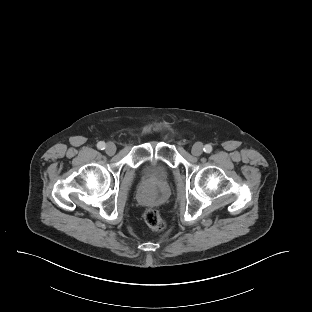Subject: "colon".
Masks as SVG:
<instances>
[{
    "mask_svg": "<svg viewBox=\"0 0 312 312\" xmlns=\"http://www.w3.org/2000/svg\"><path fill=\"white\" fill-rule=\"evenodd\" d=\"M145 223L151 229L155 231H162L165 229V221L163 220L160 212L155 208H149L144 212L143 215Z\"/></svg>",
    "mask_w": 312,
    "mask_h": 312,
    "instance_id": "colon-1",
    "label": "colon"
}]
</instances>
